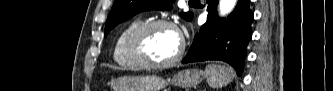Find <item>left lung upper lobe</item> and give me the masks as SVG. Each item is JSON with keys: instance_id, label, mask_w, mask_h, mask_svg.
I'll list each match as a JSON object with an SVG mask.
<instances>
[{"instance_id": "left-lung-upper-lobe-1", "label": "left lung upper lobe", "mask_w": 333, "mask_h": 91, "mask_svg": "<svg viewBox=\"0 0 333 91\" xmlns=\"http://www.w3.org/2000/svg\"><path fill=\"white\" fill-rule=\"evenodd\" d=\"M174 0H115L105 25V37L111 29L135 14L145 10H170ZM190 21L193 17L191 12L180 14Z\"/></svg>"}]
</instances>
